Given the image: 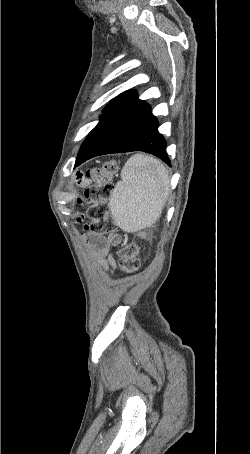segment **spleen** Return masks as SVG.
<instances>
[{
  "label": "spleen",
  "mask_w": 250,
  "mask_h": 454,
  "mask_svg": "<svg viewBox=\"0 0 250 454\" xmlns=\"http://www.w3.org/2000/svg\"><path fill=\"white\" fill-rule=\"evenodd\" d=\"M169 182L168 172L159 160L144 154L130 157L110 194L115 224L130 233L152 226L165 206Z\"/></svg>",
  "instance_id": "spleen-1"
}]
</instances>
